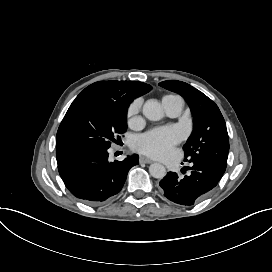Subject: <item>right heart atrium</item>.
I'll use <instances>...</instances> for the list:
<instances>
[{
	"mask_svg": "<svg viewBox=\"0 0 272 272\" xmlns=\"http://www.w3.org/2000/svg\"><path fill=\"white\" fill-rule=\"evenodd\" d=\"M141 100L140 99H137L133 102V104L130 106V109H129V116H130V120L131 121H134V116L135 114L139 111L140 107H141Z\"/></svg>",
	"mask_w": 272,
	"mask_h": 272,
	"instance_id": "d8ad5b80",
	"label": "right heart atrium"
}]
</instances>
